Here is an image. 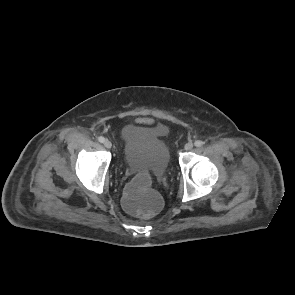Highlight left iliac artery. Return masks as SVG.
<instances>
[{
    "instance_id": "left-iliac-artery-1",
    "label": "left iliac artery",
    "mask_w": 295,
    "mask_h": 295,
    "mask_svg": "<svg viewBox=\"0 0 295 295\" xmlns=\"http://www.w3.org/2000/svg\"><path fill=\"white\" fill-rule=\"evenodd\" d=\"M195 146L196 147H201L202 146V144H203V142L202 141H200V140H197V141H195Z\"/></svg>"
}]
</instances>
